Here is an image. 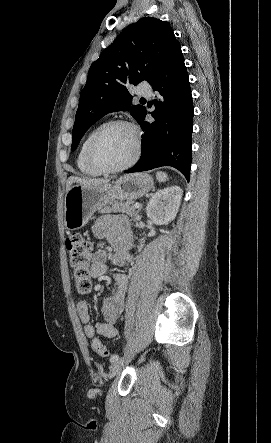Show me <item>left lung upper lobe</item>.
<instances>
[{
    "mask_svg": "<svg viewBox=\"0 0 271 443\" xmlns=\"http://www.w3.org/2000/svg\"><path fill=\"white\" fill-rule=\"evenodd\" d=\"M178 46L170 25L157 18H141L124 29L89 69L72 131V151L86 130L109 112L130 109L139 123L145 108L132 106L126 85L148 80Z\"/></svg>",
    "mask_w": 271,
    "mask_h": 443,
    "instance_id": "1",
    "label": "left lung upper lobe"
}]
</instances>
